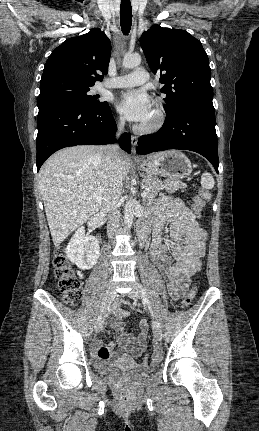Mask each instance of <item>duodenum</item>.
<instances>
[{
    "label": "duodenum",
    "instance_id": "410a0bca",
    "mask_svg": "<svg viewBox=\"0 0 259 431\" xmlns=\"http://www.w3.org/2000/svg\"><path fill=\"white\" fill-rule=\"evenodd\" d=\"M138 234H139L141 243H144L146 241L147 236H148V226L145 223H141L139 225Z\"/></svg>",
    "mask_w": 259,
    "mask_h": 431
}]
</instances>
